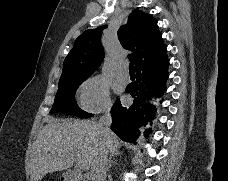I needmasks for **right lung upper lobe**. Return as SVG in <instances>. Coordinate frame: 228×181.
<instances>
[{
	"label": "right lung upper lobe",
	"mask_w": 228,
	"mask_h": 181,
	"mask_svg": "<svg viewBox=\"0 0 228 181\" xmlns=\"http://www.w3.org/2000/svg\"><path fill=\"white\" fill-rule=\"evenodd\" d=\"M106 27L86 30L76 39L64 61L59 83L85 80L101 64L104 49L100 38ZM118 38L124 49L133 51L129 59L135 62V67L165 46L157 20L141 10L129 15L128 23L118 30Z\"/></svg>",
	"instance_id": "1"
}]
</instances>
